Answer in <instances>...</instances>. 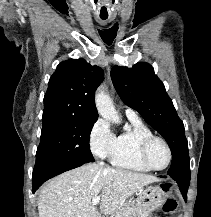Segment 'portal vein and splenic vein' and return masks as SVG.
Listing matches in <instances>:
<instances>
[{
    "label": "portal vein and splenic vein",
    "instance_id": "18ae733b",
    "mask_svg": "<svg viewBox=\"0 0 211 217\" xmlns=\"http://www.w3.org/2000/svg\"><path fill=\"white\" fill-rule=\"evenodd\" d=\"M100 200H101V198L98 196V197H95V198H93V200H92V204L93 205H97L99 202H100Z\"/></svg>",
    "mask_w": 211,
    "mask_h": 217
}]
</instances>
